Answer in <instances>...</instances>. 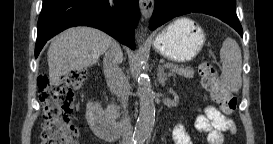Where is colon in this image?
<instances>
[{"instance_id": "colon-1", "label": "colon", "mask_w": 273, "mask_h": 144, "mask_svg": "<svg viewBox=\"0 0 273 144\" xmlns=\"http://www.w3.org/2000/svg\"><path fill=\"white\" fill-rule=\"evenodd\" d=\"M199 73L203 88L222 113L232 114L237 107V98L222 86L218 67L205 62L199 67ZM85 78V69L76 68L55 83L45 78L40 80L39 97L45 112L41 134L43 144L76 143L78 130L70 120L74 108L73 88L79 87Z\"/></svg>"}]
</instances>
